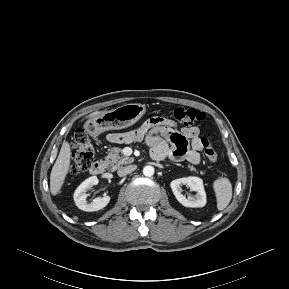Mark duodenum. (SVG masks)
Segmentation results:
<instances>
[{"instance_id":"1","label":"duodenum","mask_w":289,"mask_h":289,"mask_svg":"<svg viewBox=\"0 0 289 289\" xmlns=\"http://www.w3.org/2000/svg\"><path fill=\"white\" fill-rule=\"evenodd\" d=\"M105 169H106V165L104 162L95 161L92 163V165L90 167V173L92 175H100V174L104 173Z\"/></svg>"}]
</instances>
